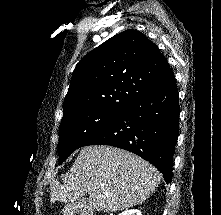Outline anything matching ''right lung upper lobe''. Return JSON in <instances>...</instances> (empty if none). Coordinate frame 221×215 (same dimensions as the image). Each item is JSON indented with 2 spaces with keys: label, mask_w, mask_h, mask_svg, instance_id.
I'll return each instance as SVG.
<instances>
[{
  "label": "right lung upper lobe",
  "mask_w": 221,
  "mask_h": 215,
  "mask_svg": "<svg viewBox=\"0 0 221 215\" xmlns=\"http://www.w3.org/2000/svg\"><path fill=\"white\" fill-rule=\"evenodd\" d=\"M171 75L166 58L153 42L140 31H123L77 64L65 96L64 116L88 109L121 112Z\"/></svg>",
  "instance_id": "cb5924a9"
}]
</instances>
